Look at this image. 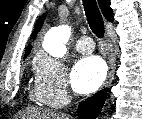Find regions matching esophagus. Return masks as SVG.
Wrapping results in <instances>:
<instances>
[{"instance_id": "obj_1", "label": "esophagus", "mask_w": 142, "mask_h": 119, "mask_svg": "<svg viewBox=\"0 0 142 119\" xmlns=\"http://www.w3.org/2000/svg\"><path fill=\"white\" fill-rule=\"evenodd\" d=\"M107 38H108V35H107ZM115 66H116L115 57H114V55L111 51L109 73H108L107 79H106L105 84H104L105 88H108L111 85V83L114 79Z\"/></svg>"}]
</instances>
